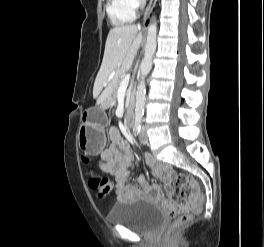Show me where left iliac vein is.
I'll return each instance as SVG.
<instances>
[{
	"mask_svg": "<svg viewBox=\"0 0 264 247\" xmlns=\"http://www.w3.org/2000/svg\"><path fill=\"white\" fill-rule=\"evenodd\" d=\"M139 139H140V142L142 144H147L148 143V136L146 134V130H145L144 127H142V129H141V133H140Z\"/></svg>",
	"mask_w": 264,
	"mask_h": 247,
	"instance_id": "4c4485c4",
	"label": "left iliac vein"
}]
</instances>
